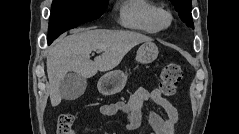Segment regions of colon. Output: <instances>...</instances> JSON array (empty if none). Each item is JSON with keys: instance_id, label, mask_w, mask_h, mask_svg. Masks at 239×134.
<instances>
[{"instance_id": "colon-1", "label": "colon", "mask_w": 239, "mask_h": 134, "mask_svg": "<svg viewBox=\"0 0 239 134\" xmlns=\"http://www.w3.org/2000/svg\"><path fill=\"white\" fill-rule=\"evenodd\" d=\"M182 78V68L178 63H168L161 71L160 90L165 96H172ZM74 117L64 113L58 118L57 134H71Z\"/></svg>"}]
</instances>
